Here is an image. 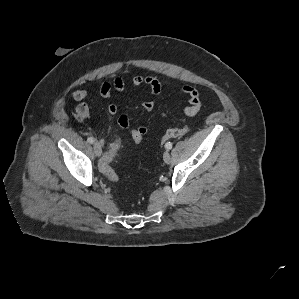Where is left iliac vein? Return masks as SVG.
Masks as SVG:
<instances>
[{
  "mask_svg": "<svg viewBox=\"0 0 299 299\" xmlns=\"http://www.w3.org/2000/svg\"><path fill=\"white\" fill-rule=\"evenodd\" d=\"M163 159L166 163H169L170 162V159H171V156H170V153L168 151H165L164 154H163Z\"/></svg>",
  "mask_w": 299,
  "mask_h": 299,
  "instance_id": "obj_1",
  "label": "left iliac vein"
}]
</instances>
